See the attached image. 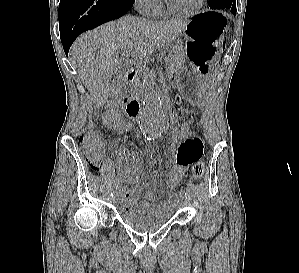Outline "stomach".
Returning <instances> with one entry per match:
<instances>
[{"mask_svg":"<svg viewBox=\"0 0 299 273\" xmlns=\"http://www.w3.org/2000/svg\"><path fill=\"white\" fill-rule=\"evenodd\" d=\"M228 29V20L220 11H205L190 19L182 31L189 70L180 68L176 78L184 94V101L200 102L209 90L212 74H220L216 53Z\"/></svg>","mask_w":299,"mask_h":273,"instance_id":"1","label":"stomach"}]
</instances>
